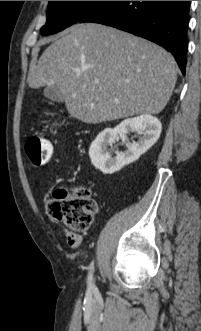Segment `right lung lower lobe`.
Wrapping results in <instances>:
<instances>
[{"label": "right lung lower lobe", "instance_id": "1", "mask_svg": "<svg viewBox=\"0 0 201 331\" xmlns=\"http://www.w3.org/2000/svg\"><path fill=\"white\" fill-rule=\"evenodd\" d=\"M190 1H105L79 23L112 26L170 51L185 74Z\"/></svg>", "mask_w": 201, "mask_h": 331}]
</instances>
